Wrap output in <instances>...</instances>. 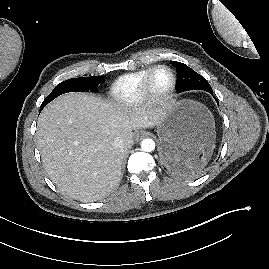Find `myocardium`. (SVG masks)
Returning <instances> with one entry per match:
<instances>
[{"label":"myocardium","instance_id":"obj_1","mask_svg":"<svg viewBox=\"0 0 269 269\" xmlns=\"http://www.w3.org/2000/svg\"><path fill=\"white\" fill-rule=\"evenodd\" d=\"M160 69H164L169 72L170 77H171V82L168 88L163 93L155 94L152 91V80H153L154 74ZM176 85H177V77L174 70L171 67L167 65H163V64L153 66L149 70L148 74L146 75L142 83L141 99L145 101L146 103L153 106H163L170 100V98L174 94Z\"/></svg>","mask_w":269,"mask_h":269}]
</instances>
